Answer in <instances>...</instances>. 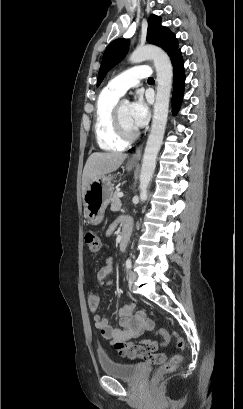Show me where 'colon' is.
Segmentation results:
<instances>
[{"instance_id":"obj_1","label":"colon","mask_w":243,"mask_h":409,"mask_svg":"<svg viewBox=\"0 0 243 409\" xmlns=\"http://www.w3.org/2000/svg\"><path fill=\"white\" fill-rule=\"evenodd\" d=\"M85 242L89 248V251L93 254H96L99 252L101 248V242L97 234H95L93 231L88 230L85 234ZM99 302V296L96 293H90L88 295V304L89 307L95 308ZM159 336L162 339V344L166 345L170 341V335L169 333L164 330L160 329L158 331ZM176 339H177V345L179 349L182 351L185 349V343L182 340L181 337H179L177 334H174ZM183 360V355L181 353L174 354L171 358L166 360L160 368L156 371V377L159 378L163 376L164 374L170 373L176 369V367L182 362Z\"/></svg>"}]
</instances>
